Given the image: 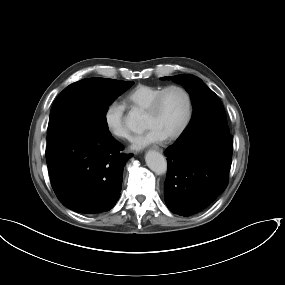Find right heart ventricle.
<instances>
[{"instance_id": "e07e8e85", "label": "right heart ventricle", "mask_w": 285, "mask_h": 285, "mask_svg": "<svg viewBox=\"0 0 285 285\" xmlns=\"http://www.w3.org/2000/svg\"><path fill=\"white\" fill-rule=\"evenodd\" d=\"M162 88V86L139 84L124 96L123 103L131 110H146L150 102Z\"/></svg>"}]
</instances>
